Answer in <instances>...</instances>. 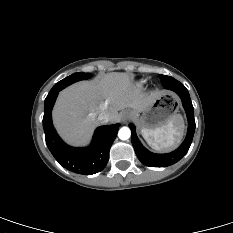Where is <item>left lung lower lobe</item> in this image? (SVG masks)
I'll use <instances>...</instances> for the list:
<instances>
[{
    "label": "left lung lower lobe",
    "instance_id": "left-lung-lower-lobe-1",
    "mask_svg": "<svg viewBox=\"0 0 233 233\" xmlns=\"http://www.w3.org/2000/svg\"><path fill=\"white\" fill-rule=\"evenodd\" d=\"M166 89L172 90L179 95L188 118V132L183 143L175 151L167 154H155L148 151L139 141L134 124L130 123L132 135V145L138 159L146 166L150 167H167L178 162L188 152L195 132L194 109L192 102L185 86L176 79L165 86Z\"/></svg>",
    "mask_w": 233,
    "mask_h": 233
}]
</instances>
